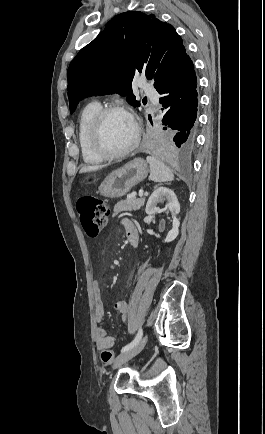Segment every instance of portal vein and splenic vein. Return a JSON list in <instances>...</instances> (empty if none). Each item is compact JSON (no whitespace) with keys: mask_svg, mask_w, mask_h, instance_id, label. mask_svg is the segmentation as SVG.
I'll return each mask as SVG.
<instances>
[{"mask_svg":"<svg viewBox=\"0 0 265 434\" xmlns=\"http://www.w3.org/2000/svg\"><path fill=\"white\" fill-rule=\"evenodd\" d=\"M139 196H140V198H141V196H143V190H140Z\"/></svg>","mask_w":265,"mask_h":434,"instance_id":"obj_1","label":"portal vein and splenic vein"}]
</instances>
